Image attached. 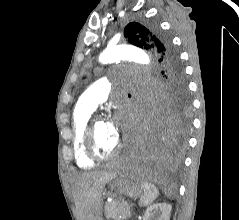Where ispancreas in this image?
<instances>
[{
	"label": "pancreas",
	"mask_w": 239,
	"mask_h": 220,
	"mask_svg": "<svg viewBox=\"0 0 239 220\" xmlns=\"http://www.w3.org/2000/svg\"><path fill=\"white\" fill-rule=\"evenodd\" d=\"M105 216L107 219L126 220L131 217V210L124 202L112 201L105 205Z\"/></svg>",
	"instance_id": "pancreas-1"
}]
</instances>
